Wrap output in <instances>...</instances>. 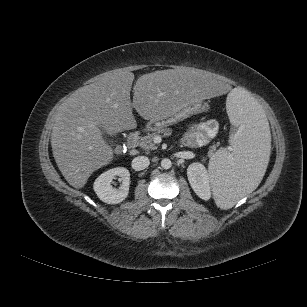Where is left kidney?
Wrapping results in <instances>:
<instances>
[{
  "instance_id": "5707ae66",
  "label": "left kidney",
  "mask_w": 307,
  "mask_h": 307,
  "mask_svg": "<svg viewBox=\"0 0 307 307\" xmlns=\"http://www.w3.org/2000/svg\"><path fill=\"white\" fill-rule=\"evenodd\" d=\"M189 183L194 192L203 200L211 197L209 174L202 163L195 162L187 168Z\"/></svg>"
}]
</instances>
